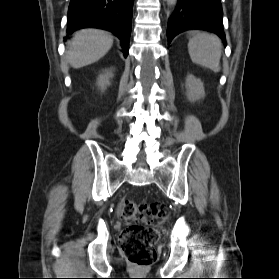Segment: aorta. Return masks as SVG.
Here are the masks:
<instances>
[{
    "instance_id": "aorta-1",
    "label": "aorta",
    "mask_w": 279,
    "mask_h": 279,
    "mask_svg": "<svg viewBox=\"0 0 279 279\" xmlns=\"http://www.w3.org/2000/svg\"><path fill=\"white\" fill-rule=\"evenodd\" d=\"M167 4L171 7H174L177 4V0H166Z\"/></svg>"
}]
</instances>
